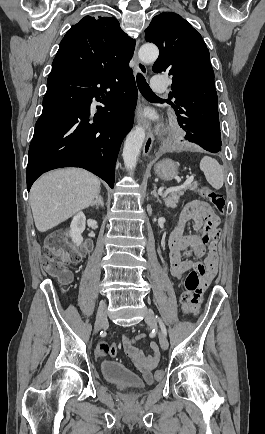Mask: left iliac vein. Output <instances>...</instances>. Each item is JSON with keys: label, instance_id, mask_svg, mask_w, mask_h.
<instances>
[{"label": "left iliac vein", "instance_id": "obj_1", "mask_svg": "<svg viewBox=\"0 0 265 434\" xmlns=\"http://www.w3.org/2000/svg\"><path fill=\"white\" fill-rule=\"evenodd\" d=\"M145 322L150 325L152 328L156 327V318L154 312L151 308L146 307L145 309ZM159 343L162 349L166 350L168 348V340L163 332L159 331Z\"/></svg>", "mask_w": 265, "mask_h": 434}]
</instances>
